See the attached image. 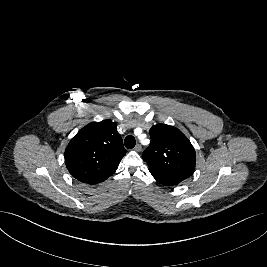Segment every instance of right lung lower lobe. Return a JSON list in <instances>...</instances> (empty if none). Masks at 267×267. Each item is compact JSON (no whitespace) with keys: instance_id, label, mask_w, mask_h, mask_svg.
<instances>
[{"instance_id":"98d812e1","label":"right lung lower lobe","mask_w":267,"mask_h":267,"mask_svg":"<svg viewBox=\"0 0 267 267\" xmlns=\"http://www.w3.org/2000/svg\"><path fill=\"white\" fill-rule=\"evenodd\" d=\"M111 175H112V174H111ZM111 175H109V176H111ZM109 176H107V177H105V178H103V179H101V180H99V181H97V182L91 183V184H97V183H100V182L106 180Z\"/></svg>"}]
</instances>
